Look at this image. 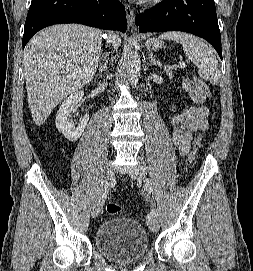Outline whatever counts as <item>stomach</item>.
Masks as SVG:
<instances>
[{"label":"stomach","instance_id":"stomach-1","mask_svg":"<svg viewBox=\"0 0 253 271\" xmlns=\"http://www.w3.org/2000/svg\"><path fill=\"white\" fill-rule=\"evenodd\" d=\"M146 46L150 50H157L163 46V41L156 38H149L146 41Z\"/></svg>","mask_w":253,"mask_h":271}]
</instances>
